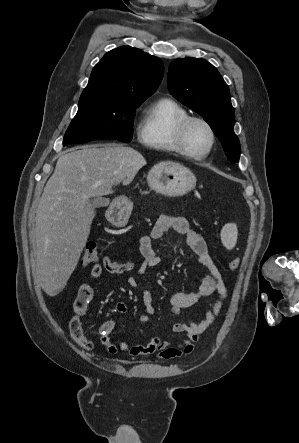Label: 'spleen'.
I'll return each mask as SVG.
<instances>
[{
	"label": "spleen",
	"mask_w": 299,
	"mask_h": 443,
	"mask_svg": "<svg viewBox=\"0 0 299 443\" xmlns=\"http://www.w3.org/2000/svg\"><path fill=\"white\" fill-rule=\"evenodd\" d=\"M237 227L235 224H226L221 230V241L227 249H232L237 242Z\"/></svg>",
	"instance_id": "obj_1"
}]
</instances>
